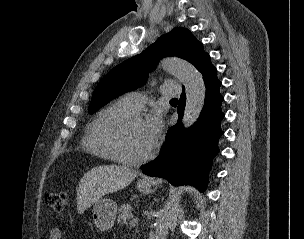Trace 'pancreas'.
<instances>
[{"label":"pancreas","instance_id":"cf45deb5","mask_svg":"<svg viewBox=\"0 0 304 239\" xmlns=\"http://www.w3.org/2000/svg\"><path fill=\"white\" fill-rule=\"evenodd\" d=\"M119 223H126L130 218H132L131 207L129 204H123L119 209Z\"/></svg>","mask_w":304,"mask_h":239}]
</instances>
